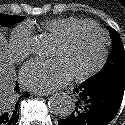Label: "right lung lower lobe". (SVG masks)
Instances as JSON below:
<instances>
[{
	"label": "right lung lower lobe",
	"instance_id": "obj_1",
	"mask_svg": "<svg viewBox=\"0 0 125 125\" xmlns=\"http://www.w3.org/2000/svg\"><path fill=\"white\" fill-rule=\"evenodd\" d=\"M16 92L18 91V85L16 84ZM29 97L28 92L22 93L18 98H13L5 108L0 111V125H16L19 118L18 105L20 99Z\"/></svg>",
	"mask_w": 125,
	"mask_h": 125
}]
</instances>
